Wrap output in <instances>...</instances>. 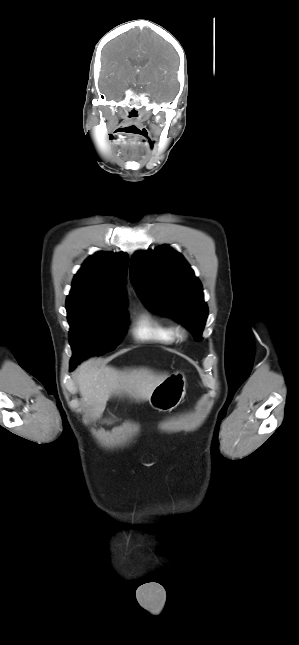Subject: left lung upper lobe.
<instances>
[{"label":"left lung upper lobe","instance_id":"5c2ea615","mask_svg":"<svg viewBox=\"0 0 299 645\" xmlns=\"http://www.w3.org/2000/svg\"><path fill=\"white\" fill-rule=\"evenodd\" d=\"M132 283L152 311L172 317L197 341L208 316L200 281L184 257L167 245L137 252L130 266Z\"/></svg>","mask_w":299,"mask_h":645}]
</instances>
